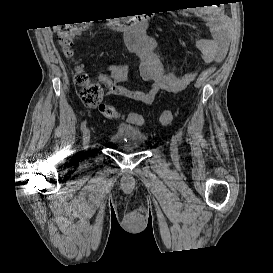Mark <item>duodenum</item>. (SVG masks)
Masks as SVG:
<instances>
[{"instance_id":"1","label":"duodenum","mask_w":273,"mask_h":273,"mask_svg":"<svg viewBox=\"0 0 273 273\" xmlns=\"http://www.w3.org/2000/svg\"><path fill=\"white\" fill-rule=\"evenodd\" d=\"M150 21V16L141 14L128 16L122 19H114L111 21V24L117 30L124 32L127 40V35L131 31H141L150 24Z\"/></svg>"}]
</instances>
